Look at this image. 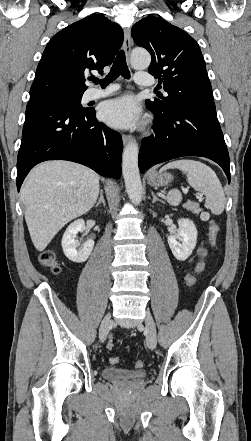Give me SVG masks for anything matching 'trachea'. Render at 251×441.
<instances>
[{
    "instance_id": "3493384b",
    "label": "trachea",
    "mask_w": 251,
    "mask_h": 441,
    "mask_svg": "<svg viewBox=\"0 0 251 441\" xmlns=\"http://www.w3.org/2000/svg\"><path fill=\"white\" fill-rule=\"evenodd\" d=\"M124 77L125 79H130V71L126 64V57L123 51H120L117 55L115 62L113 63L110 72L104 79L92 78L91 80L100 84L102 87L107 86L109 83L116 80L119 76Z\"/></svg>"
}]
</instances>
